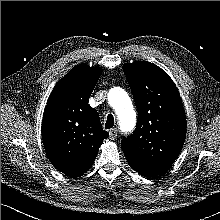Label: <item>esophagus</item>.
Masks as SVG:
<instances>
[{
	"label": "esophagus",
	"instance_id": "obj_1",
	"mask_svg": "<svg viewBox=\"0 0 220 220\" xmlns=\"http://www.w3.org/2000/svg\"><path fill=\"white\" fill-rule=\"evenodd\" d=\"M117 133H118V131H117L116 128H112V129H110V130H109V136H110V139H111V140L116 139V137H117Z\"/></svg>",
	"mask_w": 220,
	"mask_h": 220
}]
</instances>
